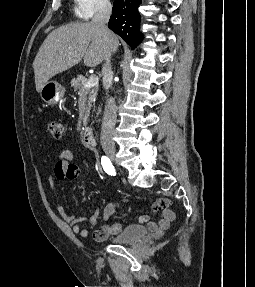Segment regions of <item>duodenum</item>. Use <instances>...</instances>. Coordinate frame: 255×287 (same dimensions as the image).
I'll use <instances>...</instances> for the list:
<instances>
[{"label": "duodenum", "instance_id": "1", "mask_svg": "<svg viewBox=\"0 0 255 287\" xmlns=\"http://www.w3.org/2000/svg\"><path fill=\"white\" fill-rule=\"evenodd\" d=\"M83 140L88 145H93L95 143L93 130L90 127H85L83 129Z\"/></svg>", "mask_w": 255, "mask_h": 287}]
</instances>
